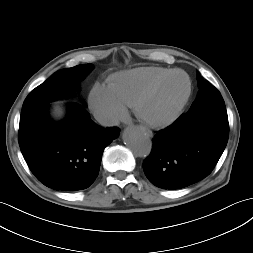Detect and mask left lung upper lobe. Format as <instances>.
<instances>
[{
    "label": "left lung upper lobe",
    "instance_id": "5c2ea615",
    "mask_svg": "<svg viewBox=\"0 0 253 253\" xmlns=\"http://www.w3.org/2000/svg\"><path fill=\"white\" fill-rule=\"evenodd\" d=\"M199 92L191 108L184 115L200 116L207 112L226 109L220 92L198 75Z\"/></svg>",
    "mask_w": 253,
    "mask_h": 253
}]
</instances>
